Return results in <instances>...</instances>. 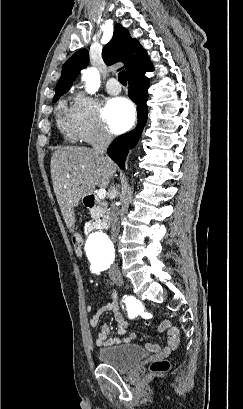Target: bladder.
Instances as JSON below:
<instances>
[{
  "label": "bladder",
  "instance_id": "bladder-1",
  "mask_svg": "<svg viewBox=\"0 0 243 409\" xmlns=\"http://www.w3.org/2000/svg\"><path fill=\"white\" fill-rule=\"evenodd\" d=\"M147 356V351L135 344H119L103 347L98 351L102 364L118 371H128Z\"/></svg>",
  "mask_w": 243,
  "mask_h": 409
}]
</instances>
